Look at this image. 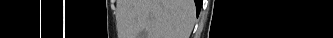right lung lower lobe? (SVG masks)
<instances>
[{
	"mask_svg": "<svg viewBox=\"0 0 333 38\" xmlns=\"http://www.w3.org/2000/svg\"><path fill=\"white\" fill-rule=\"evenodd\" d=\"M195 3H196V7L198 8V5L200 4V2L195 0Z\"/></svg>",
	"mask_w": 333,
	"mask_h": 38,
	"instance_id": "right-lung-lower-lobe-1",
	"label": "right lung lower lobe"
}]
</instances>
